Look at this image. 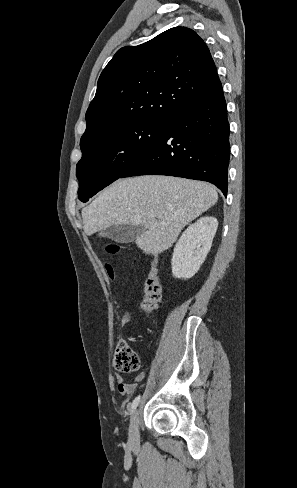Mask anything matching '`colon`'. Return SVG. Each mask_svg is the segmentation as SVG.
Returning a JSON list of instances; mask_svg holds the SVG:
<instances>
[{"label": "colon", "mask_w": 297, "mask_h": 488, "mask_svg": "<svg viewBox=\"0 0 297 488\" xmlns=\"http://www.w3.org/2000/svg\"><path fill=\"white\" fill-rule=\"evenodd\" d=\"M110 253H115L118 250L116 245H111L107 248ZM106 270L109 276H113V268L107 264ZM144 298L142 301V309L146 313L154 312L159 305L161 298V289L156 277V260L153 259L148 278L145 282ZM114 364L116 369L123 373H132L139 368V359L135 352L124 341L117 342Z\"/></svg>", "instance_id": "colon-1"}]
</instances>
